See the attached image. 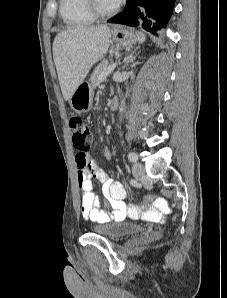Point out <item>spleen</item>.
Listing matches in <instances>:
<instances>
[{
    "label": "spleen",
    "instance_id": "1",
    "mask_svg": "<svg viewBox=\"0 0 227 298\" xmlns=\"http://www.w3.org/2000/svg\"><path fill=\"white\" fill-rule=\"evenodd\" d=\"M145 39H146L145 35L143 33L139 32L138 33V41L140 43H143L145 41Z\"/></svg>",
    "mask_w": 227,
    "mask_h": 298
}]
</instances>
